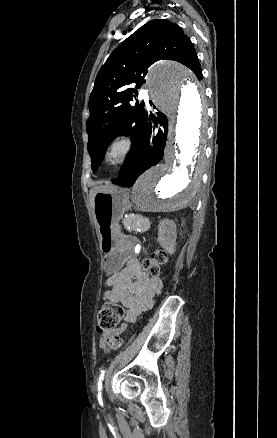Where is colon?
Listing matches in <instances>:
<instances>
[{"instance_id": "1", "label": "colon", "mask_w": 277, "mask_h": 438, "mask_svg": "<svg viewBox=\"0 0 277 438\" xmlns=\"http://www.w3.org/2000/svg\"><path fill=\"white\" fill-rule=\"evenodd\" d=\"M167 259V252L164 249H157L151 258L143 261V268L151 275H157L159 265L164 263ZM122 314L120 305L114 302L105 303L97 315V329L101 332H108L113 330L118 323ZM108 345L111 348H120L122 345V337L118 334L109 333L107 337Z\"/></svg>"}]
</instances>
